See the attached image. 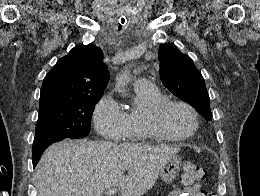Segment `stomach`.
<instances>
[{
  "label": "stomach",
  "instance_id": "0dacf381",
  "mask_svg": "<svg viewBox=\"0 0 260 196\" xmlns=\"http://www.w3.org/2000/svg\"><path fill=\"white\" fill-rule=\"evenodd\" d=\"M181 168V160L179 156H172L170 160H167L164 168H162L160 172V178L165 182V184H172L173 180H175L178 172H180Z\"/></svg>",
  "mask_w": 260,
  "mask_h": 196
}]
</instances>
